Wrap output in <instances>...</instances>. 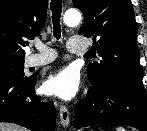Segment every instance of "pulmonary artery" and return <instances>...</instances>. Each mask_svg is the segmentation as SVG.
Here are the masks:
<instances>
[{
	"label": "pulmonary artery",
	"instance_id": "pulmonary-artery-1",
	"mask_svg": "<svg viewBox=\"0 0 147 131\" xmlns=\"http://www.w3.org/2000/svg\"><path fill=\"white\" fill-rule=\"evenodd\" d=\"M35 47L40 51L38 54H31L26 59L27 67H40L52 62L56 53L53 49L41 42H35ZM68 51L74 54L85 53L88 50V44L80 38H70L67 43Z\"/></svg>",
	"mask_w": 147,
	"mask_h": 131
}]
</instances>
